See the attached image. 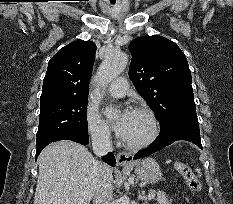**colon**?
Instances as JSON below:
<instances>
[{"mask_svg": "<svg viewBox=\"0 0 233 204\" xmlns=\"http://www.w3.org/2000/svg\"><path fill=\"white\" fill-rule=\"evenodd\" d=\"M176 170L182 175L184 178L187 186L193 192H200L201 190V183L199 179L196 177L190 166L183 162H176L175 163Z\"/></svg>", "mask_w": 233, "mask_h": 204, "instance_id": "5ec220e1", "label": "colon"}]
</instances>
